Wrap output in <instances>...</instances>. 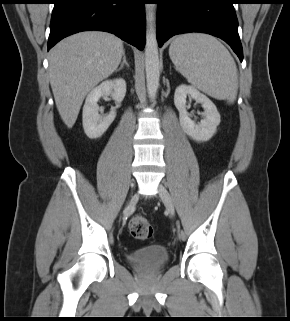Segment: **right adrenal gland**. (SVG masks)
I'll use <instances>...</instances> for the list:
<instances>
[{"label":"right adrenal gland","instance_id":"2a0ac1e0","mask_svg":"<svg viewBox=\"0 0 290 321\" xmlns=\"http://www.w3.org/2000/svg\"><path fill=\"white\" fill-rule=\"evenodd\" d=\"M125 65L129 68V63H128L127 60H126V55H125V52H124V53H123V60H122V62H121V64H120V67H119L118 69H116V72L122 70Z\"/></svg>","mask_w":290,"mask_h":321}]
</instances>
